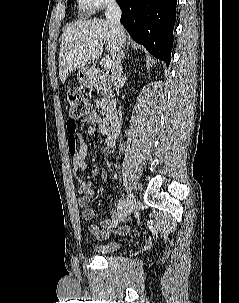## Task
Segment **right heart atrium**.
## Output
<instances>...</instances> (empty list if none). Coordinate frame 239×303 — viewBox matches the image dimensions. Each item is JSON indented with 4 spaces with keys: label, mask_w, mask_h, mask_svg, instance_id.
Returning a JSON list of instances; mask_svg holds the SVG:
<instances>
[{
    "label": "right heart atrium",
    "mask_w": 239,
    "mask_h": 303,
    "mask_svg": "<svg viewBox=\"0 0 239 303\" xmlns=\"http://www.w3.org/2000/svg\"><path fill=\"white\" fill-rule=\"evenodd\" d=\"M115 0H78V6L85 12L91 13L113 4Z\"/></svg>",
    "instance_id": "1"
}]
</instances>
